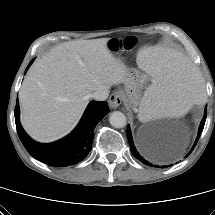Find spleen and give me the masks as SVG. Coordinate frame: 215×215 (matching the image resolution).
<instances>
[{
  "label": "spleen",
  "mask_w": 215,
  "mask_h": 215,
  "mask_svg": "<svg viewBox=\"0 0 215 215\" xmlns=\"http://www.w3.org/2000/svg\"><path fill=\"white\" fill-rule=\"evenodd\" d=\"M138 59L139 68L152 77L140 104L146 119L179 116L192 103L205 100L204 85L188 57L150 47L141 50Z\"/></svg>",
  "instance_id": "spleen-1"
}]
</instances>
